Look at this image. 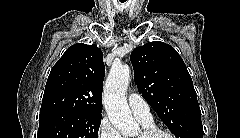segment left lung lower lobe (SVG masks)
Returning a JSON list of instances; mask_svg holds the SVG:
<instances>
[{"instance_id":"left-lung-lower-lobe-1","label":"left lung lower lobe","mask_w":240,"mask_h":138,"mask_svg":"<svg viewBox=\"0 0 240 138\" xmlns=\"http://www.w3.org/2000/svg\"><path fill=\"white\" fill-rule=\"evenodd\" d=\"M195 138H203V136L195 137Z\"/></svg>"}]
</instances>
